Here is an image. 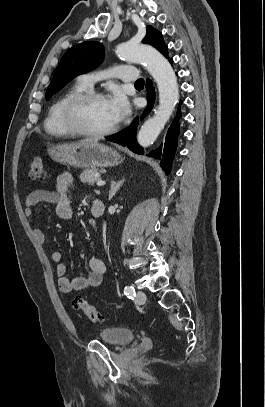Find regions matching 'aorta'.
<instances>
[{
	"label": "aorta",
	"mask_w": 265,
	"mask_h": 407,
	"mask_svg": "<svg viewBox=\"0 0 265 407\" xmlns=\"http://www.w3.org/2000/svg\"><path fill=\"white\" fill-rule=\"evenodd\" d=\"M120 59L145 64L147 71L157 83L159 105L152 118L141 127L137 140L142 147L152 145L171 117L179 100L177 78L170 63L155 49L131 42L117 46Z\"/></svg>",
	"instance_id": "aorta-1"
}]
</instances>
